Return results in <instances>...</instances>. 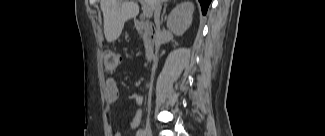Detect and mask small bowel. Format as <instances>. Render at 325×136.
Instances as JSON below:
<instances>
[{
	"mask_svg": "<svg viewBox=\"0 0 325 136\" xmlns=\"http://www.w3.org/2000/svg\"><path fill=\"white\" fill-rule=\"evenodd\" d=\"M119 95H120V92L117 87L116 81L113 78L107 79L106 87H105L106 101L109 104H113L118 100ZM129 99H131L138 106V108L135 110L134 116L130 122V127L135 129V128L139 127V125L141 124V121H142V111L139 108V106H141L143 103V97L138 93H133V94L129 95ZM114 136H121V133L116 132L114 134Z\"/></svg>",
	"mask_w": 325,
	"mask_h": 136,
	"instance_id": "1",
	"label": "small bowel"
}]
</instances>
